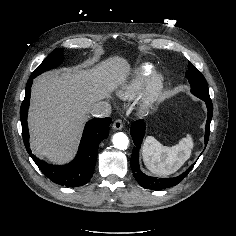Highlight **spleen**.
<instances>
[{
    "instance_id": "obj_1",
    "label": "spleen",
    "mask_w": 236,
    "mask_h": 236,
    "mask_svg": "<svg viewBox=\"0 0 236 236\" xmlns=\"http://www.w3.org/2000/svg\"><path fill=\"white\" fill-rule=\"evenodd\" d=\"M193 145L191 135L172 147L163 146L154 137L147 136L142 148L144 164L154 174L170 175L189 159Z\"/></svg>"
}]
</instances>
